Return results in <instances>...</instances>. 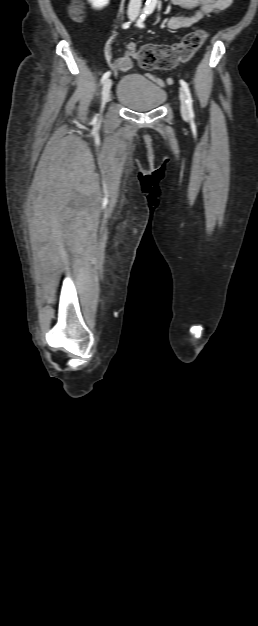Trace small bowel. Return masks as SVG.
I'll use <instances>...</instances> for the list:
<instances>
[{"mask_svg": "<svg viewBox=\"0 0 258 626\" xmlns=\"http://www.w3.org/2000/svg\"><path fill=\"white\" fill-rule=\"evenodd\" d=\"M232 2L233 0H170V3L173 5H178L188 9H196V11L191 16H173L168 19L166 25L169 29L172 30L189 28L210 14L225 11L230 7ZM113 47V42H109L105 48V55L110 67L114 70L126 71L131 65V59L129 55L125 54L118 58H115ZM147 77L161 87L165 86L166 84L170 85L173 83V80L171 78L163 80L152 73H148Z\"/></svg>", "mask_w": 258, "mask_h": 626, "instance_id": "1", "label": "small bowel"}]
</instances>
